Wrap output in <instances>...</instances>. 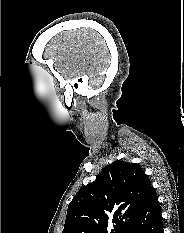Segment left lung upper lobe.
<instances>
[{"label":"left lung upper lobe","instance_id":"1","mask_svg":"<svg viewBox=\"0 0 184 233\" xmlns=\"http://www.w3.org/2000/svg\"><path fill=\"white\" fill-rule=\"evenodd\" d=\"M153 190L142 168L117 160L77 192L62 233H128Z\"/></svg>","mask_w":184,"mask_h":233}]
</instances>
